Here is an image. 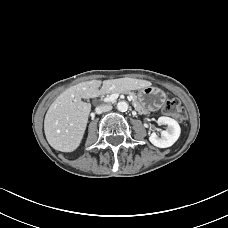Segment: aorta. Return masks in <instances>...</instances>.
Masks as SVG:
<instances>
[{
  "label": "aorta",
  "instance_id": "obj_1",
  "mask_svg": "<svg viewBox=\"0 0 228 228\" xmlns=\"http://www.w3.org/2000/svg\"><path fill=\"white\" fill-rule=\"evenodd\" d=\"M117 109L121 112H125L128 109V103L125 101H120L117 103Z\"/></svg>",
  "mask_w": 228,
  "mask_h": 228
}]
</instances>
